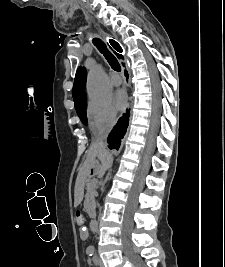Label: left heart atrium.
I'll list each match as a JSON object with an SVG mask.
<instances>
[{
  "label": "left heart atrium",
  "mask_w": 225,
  "mask_h": 267,
  "mask_svg": "<svg viewBox=\"0 0 225 267\" xmlns=\"http://www.w3.org/2000/svg\"><path fill=\"white\" fill-rule=\"evenodd\" d=\"M115 103L118 109L122 110L127 104V96L124 91H118L115 95Z\"/></svg>",
  "instance_id": "39dd6f15"
}]
</instances>
